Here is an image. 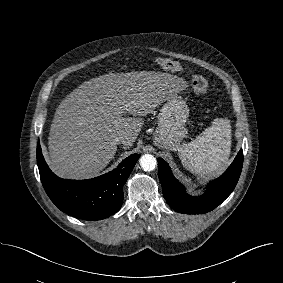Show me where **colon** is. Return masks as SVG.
<instances>
[{
	"mask_svg": "<svg viewBox=\"0 0 283 283\" xmlns=\"http://www.w3.org/2000/svg\"><path fill=\"white\" fill-rule=\"evenodd\" d=\"M157 63L163 67L164 69L175 71V72H183V66L172 59L159 57L157 58ZM191 83L194 91L202 96H206L209 93V84L207 80L197 74H191Z\"/></svg>",
	"mask_w": 283,
	"mask_h": 283,
	"instance_id": "5ec220e1",
	"label": "colon"
}]
</instances>
